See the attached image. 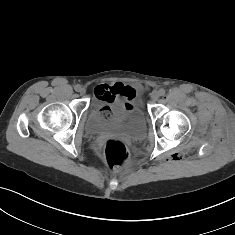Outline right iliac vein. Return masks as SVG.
<instances>
[{
	"label": "right iliac vein",
	"instance_id": "1",
	"mask_svg": "<svg viewBox=\"0 0 235 235\" xmlns=\"http://www.w3.org/2000/svg\"><path fill=\"white\" fill-rule=\"evenodd\" d=\"M81 95L85 94L86 93V90L84 87H81L78 91Z\"/></svg>",
	"mask_w": 235,
	"mask_h": 235
}]
</instances>
